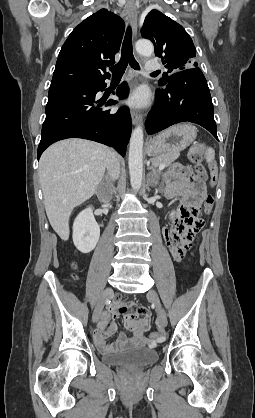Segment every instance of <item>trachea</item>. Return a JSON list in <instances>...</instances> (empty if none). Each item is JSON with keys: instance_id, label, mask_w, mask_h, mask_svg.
Wrapping results in <instances>:
<instances>
[{"instance_id": "trachea-1", "label": "trachea", "mask_w": 255, "mask_h": 418, "mask_svg": "<svg viewBox=\"0 0 255 418\" xmlns=\"http://www.w3.org/2000/svg\"><path fill=\"white\" fill-rule=\"evenodd\" d=\"M128 64L135 70H139L140 66L133 56L132 49V31L130 26L126 30L124 41L122 44L121 58L120 61L110 68L113 77L122 76L128 66ZM157 73V72H153Z\"/></svg>"}]
</instances>
